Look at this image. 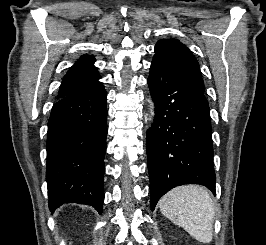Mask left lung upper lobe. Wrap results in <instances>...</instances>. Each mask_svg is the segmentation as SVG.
<instances>
[{
    "instance_id": "left-lung-upper-lobe-1",
    "label": "left lung upper lobe",
    "mask_w": 266,
    "mask_h": 245,
    "mask_svg": "<svg viewBox=\"0 0 266 245\" xmlns=\"http://www.w3.org/2000/svg\"><path fill=\"white\" fill-rule=\"evenodd\" d=\"M153 60L165 63L204 91L199 64L190 50L178 40H159Z\"/></svg>"
}]
</instances>
